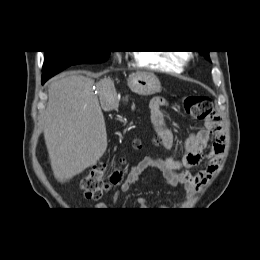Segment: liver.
Segmentation results:
<instances>
[{
	"label": "liver",
	"mask_w": 260,
	"mask_h": 260,
	"mask_svg": "<svg viewBox=\"0 0 260 260\" xmlns=\"http://www.w3.org/2000/svg\"><path fill=\"white\" fill-rule=\"evenodd\" d=\"M94 83L71 73L55 77L48 88L44 138L54 176L61 183L96 164L107 149L99 99L105 102L116 92L113 81L105 77L96 83L98 99Z\"/></svg>",
	"instance_id": "liver-1"
}]
</instances>
